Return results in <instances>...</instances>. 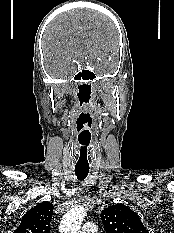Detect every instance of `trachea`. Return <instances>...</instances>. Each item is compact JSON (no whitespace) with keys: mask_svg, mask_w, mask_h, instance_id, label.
I'll list each match as a JSON object with an SVG mask.
<instances>
[{"mask_svg":"<svg viewBox=\"0 0 174 233\" xmlns=\"http://www.w3.org/2000/svg\"><path fill=\"white\" fill-rule=\"evenodd\" d=\"M89 173V167H75V174L78 180H84Z\"/></svg>","mask_w":174,"mask_h":233,"instance_id":"obj_1","label":"trachea"}]
</instances>
